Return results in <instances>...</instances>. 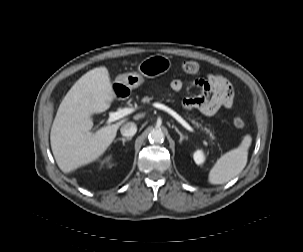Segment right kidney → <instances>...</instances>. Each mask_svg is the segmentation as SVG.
I'll return each instance as SVG.
<instances>
[{"instance_id": "obj_1", "label": "right kidney", "mask_w": 303, "mask_h": 252, "mask_svg": "<svg viewBox=\"0 0 303 252\" xmlns=\"http://www.w3.org/2000/svg\"><path fill=\"white\" fill-rule=\"evenodd\" d=\"M110 160V157L107 159V161H109Z\"/></svg>"}]
</instances>
